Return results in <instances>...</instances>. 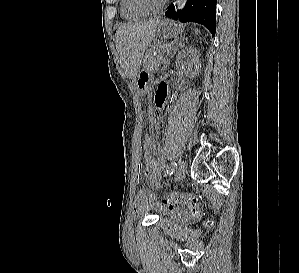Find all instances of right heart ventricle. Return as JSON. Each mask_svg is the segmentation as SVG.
<instances>
[{"instance_id": "1", "label": "right heart ventricle", "mask_w": 299, "mask_h": 273, "mask_svg": "<svg viewBox=\"0 0 299 273\" xmlns=\"http://www.w3.org/2000/svg\"><path fill=\"white\" fill-rule=\"evenodd\" d=\"M121 16L128 21H138L145 18L148 13L140 10L133 0H121L120 2Z\"/></svg>"}]
</instances>
